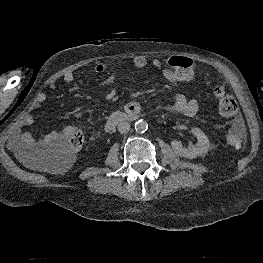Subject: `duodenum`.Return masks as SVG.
<instances>
[{
	"instance_id": "1",
	"label": "duodenum",
	"mask_w": 263,
	"mask_h": 263,
	"mask_svg": "<svg viewBox=\"0 0 263 263\" xmlns=\"http://www.w3.org/2000/svg\"><path fill=\"white\" fill-rule=\"evenodd\" d=\"M139 111V107L135 104H122L110 115L106 126L109 128L119 121L135 119Z\"/></svg>"
}]
</instances>
